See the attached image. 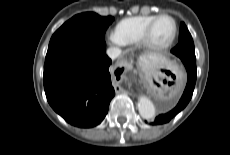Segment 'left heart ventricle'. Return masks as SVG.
Returning <instances> with one entry per match:
<instances>
[{
  "mask_svg": "<svg viewBox=\"0 0 230 155\" xmlns=\"http://www.w3.org/2000/svg\"><path fill=\"white\" fill-rule=\"evenodd\" d=\"M173 22L169 18H162L156 22L151 33V40L156 44L167 42L173 33Z\"/></svg>",
  "mask_w": 230,
  "mask_h": 155,
  "instance_id": "1",
  "label": "left heart ventricle"
}]
</instances>
